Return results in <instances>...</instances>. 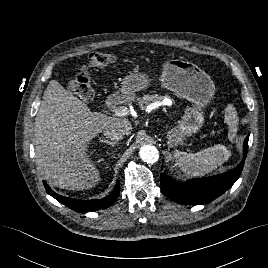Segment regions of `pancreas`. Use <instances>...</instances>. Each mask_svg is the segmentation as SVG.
Masks as SVG:
<instances>
[{
  "mask_svg": "<svg viewBox=\"0 0 268 268\" xmlns=\"http://www.w3.org/2000/svg\"><path fill=\"white\" fill-rule=\"evenodd\" d=\"M169 95H144L143 97H135L134 100L137 101V104L139 105L140 108H145V106H147L148 104H150L151 102H155V101H163L166 99H169ZM170 105V104H168Z\"/></svg>",
  "mask_w": 268,
  "mask_h": 268,
  "instance_id": "pancreas-1",
  "label": "pancreas"
}]
</instances>
